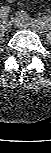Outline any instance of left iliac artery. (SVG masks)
Returning a JSON list of instances; mask_svg holds the SVG:
<instances>
[{
    "instance_id": "left-iliac-artery-1",
    "label": "left iliac artery",
    "mask_w": 51,
    "mask_h": 153,
    "mask_svg": "<svg viewBox=\"0 0 51 153\" xmlns=\"http://www.w3.org/2000/svg\"><path fill=\"white\" fill-rule=\"evenodd\" d=\"M22 18L28 20L32 24L40 25L41 27L45 28L46 30L51 26V16H45L38 19H32L25 11H21Z\"/></svg>"
}]
</instances>
